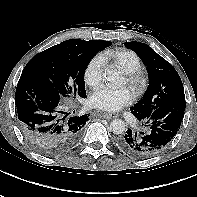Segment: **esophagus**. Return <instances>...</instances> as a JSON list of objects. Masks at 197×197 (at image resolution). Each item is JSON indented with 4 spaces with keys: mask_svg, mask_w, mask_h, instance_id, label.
<instances>
[{
    "mask_svg": "<svg viewBox=\"0 0 197 197\" xmlns=\"http://www.w3.org/2000/svg\"><path fill=\"white\" fill-rule=\"evenodd\" d=\"M99 116H101L105 119H113V118L117 117L116 114H112V113H101V114H99Z\"/></svg>",
    "mask_w": 197,
    "mask_h": 197,
    "instance_id": "1",
    "label": "esophagus"
}]
</instances>
